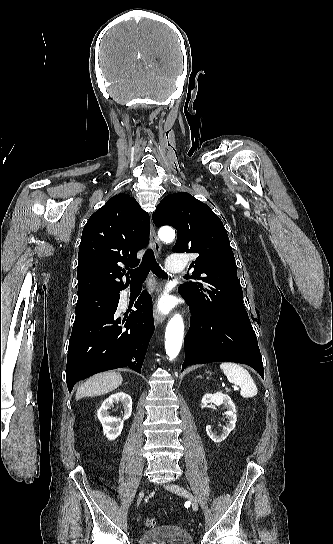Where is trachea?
Wrapping results in <instances>:
<instances>
[{"label":"trachea","instance_id":"1","mask_svg":"<svg viewBox=\"0 0 333 544\" xmlns=\"http://www.w3.org/2000/svg\"><path fill=\"white\" fill-rule=\"evenodd\" d=\"M149 271H152L158 277H166L167 274L161 269L156 262L154 252L152 249H148L142 259V262L138 268L131 271V282L139 283L145 281Z\"/></svg>","mask_w":333,"mask_h":544}]
</instances>
